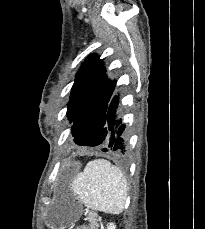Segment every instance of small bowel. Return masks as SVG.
Instances as JSON below:
<instances>
[{
	"mask_svg": "<svg viewBox=\"0 0 205 229\" xmlns=\"http://www.w3.org/2000/svg\"><path fill=\"white\" fill-rule=\"evenodd\" d=\"M75 229H93L92 227L86 226V225H82V226H78Z\"/></svg>",
	"mask_w": 205,
	"mask_h": 229,
	"instance_id": "1",
	"label": "small bowel"
}]
</instances>
